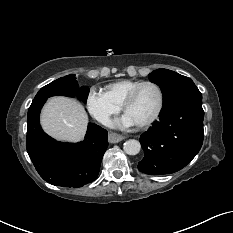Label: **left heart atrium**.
Segmentation results:
<instances>
[{
    "instance_id": "1",
    "label": "left heart atrium",
    "mask_w": 233,
    "mask_h": 233,
    "mask_svg": "<svg viewBox=\"0 0 233 233\" xmlns=\"http://www.w3.org/2000/svg\"><path fill=\"white\" fill-rule=\"evenodd\" d=\"M137 124L128 114H125L119 119H116L112 125L118 128H127Z\"/></svg>"
}]
</instances>
